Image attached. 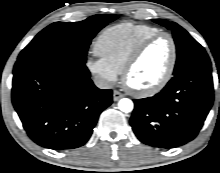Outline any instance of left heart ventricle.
<instances>
[{
    "mask_svg": "<svg viewBox=\"0 0 220 173\" xmlns=\"http://www.w3.org/2000/svg\"><path fill=\"white\" fill-rule=\"evenodd\" d=\"M171 59V44L161 37L151 43L128 76V83L135 89H146L156 84L165 74Z\"/></svg>",
    "mask_w": 220,
    "mask_h": 173,
    "instance_id": "b2bd125f",
    "label": "left heart ventricle"
}]
</instances>
